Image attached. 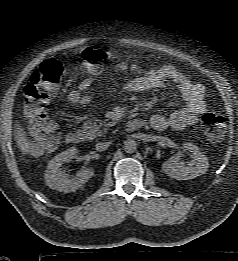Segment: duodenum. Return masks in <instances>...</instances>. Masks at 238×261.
Here are the masks:
<instances>
[{
    "label": "duodenum",
    "mask_w": 238,
    "mask_h": 261,
    "mask_svg": "<svg viewBox=\"0 0 238 261\" xmlns=\"http://www.w3.org/2000/svg\"><path fill=\"white\" fill-rule=\"evenodd\" d=\"M145 122L141 119H131L127 122L126 128L128 131H136L144 127ZM86 137L85 134L78 130L70 131L67 136L66 140L68 143L73 145L82 144L85 141Z\"/></svg>",
    "instance_id": "1"
}]
</instances>
